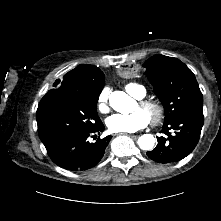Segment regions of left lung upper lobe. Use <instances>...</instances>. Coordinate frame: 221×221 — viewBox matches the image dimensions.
Wrapping results in <instances>:
<instances>
[{
	"mask_svg": "<svg viewBox=\"0 0 221 221\" xmlns=\"http://www.w3.org/2000/svg\"><path fill=\"white\" fill-rule=\"evenodd\" d=\"M146 75L165 109V123L179 115L202 109L203 96L193 72L179 59L155 55L144 64ZM174 146L163 148L164 157L172 156Z\"/></svg>",
	"mask_w": 221,
	"mask_h": 221,
	"instance_id": "obj_1",
	"label": "left lung upper lobe"
}]
</instances>
